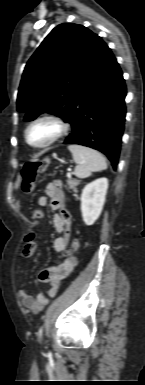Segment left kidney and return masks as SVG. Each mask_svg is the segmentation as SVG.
I'll return each instance as SVG.
<instances>
[{"label":"left kidney","instance_id":"left-kidney-1","mask_svg":"<svg viewBox=\"0 0 145 385\" xmlns=\"http://www.w3.org/2000/svg\"><path fill=\"white\" fill-rule=\"evenodd\" d=\"M107 189V178H99L87 184L82 190L81 212L86 225H93L99 218L105 203Z\"/></svg>","mask_w":145,"mask_h":385}]
</instances>
